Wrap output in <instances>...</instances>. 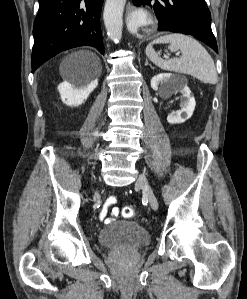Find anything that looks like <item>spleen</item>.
Masks as SVG:
<instances>
[{"label":"spleen","mask_w":247,"mask_h":299,"mask_svg":"<svg viewBox=\"0 0 247 299\" xmlns=\"http://www.w3.org/2000/svg\"><path fill=\"white\" fill-rule=\"evenodd\" d=\"M168 44L172 52L180 51L182 56L164 60L160 52L153 49V44ZM146 56L157 67L177 73L191 75L203 83L215 84L217 73L214 61L208 51L194 38L183 34H169L155 39L146 47Z\"/></svg>","instance_id":"3e777b00"}]
</instances>
